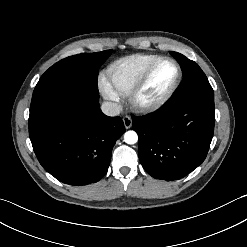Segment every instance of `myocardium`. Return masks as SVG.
Returning <instances> with one entry per match:
<instances>
[{
    "instance_id": "f54148a6",
    "label": "myocardium",
    "mask_w": 247,
    "mask_h": 247,
    "mask_svg": "<svg viewBox=\"0 0 247 247\" xmlns=\"http://www.w3.org/2000/svg\"><path fill=\"white\" fill-rule=\"evenodd\" d=\"M163 61H170L172 62L177 70L176 78L171 85V87L162 95L153 98L151 100H143L140 95L141 92L146 85L150 75L154 71V69L157 67L158 64H160ZM182 80V69L180 64L177 60H175L172 57H160L159 59L155 60L153 63H151L147 69L142 73L140 78L137 80L135 85L132 87L130 92L128 93V98L132 106L138 110L141 111H153L160 107H162L164 104H166L170 98L174 95L176 90L178 89L180 83Z\"/></svg>"
}]
</instances>
